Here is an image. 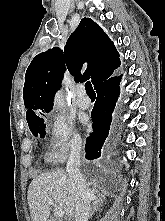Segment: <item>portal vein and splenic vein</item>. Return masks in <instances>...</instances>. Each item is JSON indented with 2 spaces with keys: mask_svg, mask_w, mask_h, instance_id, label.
Masks as SVG:
<instances>
[{
  "mask_svg": "<svg viewBox=\"0 0 165 221\" xmlns=\"http://www.w3.org/2000/svg\"><path fill=\"white\" fill-rule=\"evenodd\" d=\"M48 203H49L50 205H54L53 200H49ZM54 215H55L56 217H59V218H60V217H63V216H64V211H63L61 208L55 207V208H54Z\"/></svg>",
  "mask_w": 165,
  "mask_h": 221,
  "instance_id": "obj_1",
  "label": "portal vein and splenic vein"
}]
</instances>
